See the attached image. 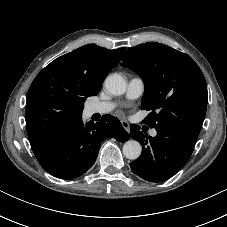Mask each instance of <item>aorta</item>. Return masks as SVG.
<instances>
[{"label":"aorta","instance_id":"aorta-1","mask_svg":"<svg viewBox=\"0 0 227 227\" xmlns=\"http://www.w3.org/2000/svg\"><path fill=\"white\" fill-rule=\"evenodd\" d=\"M106 90L115 96L125 93L127 88L126 80L119 74H111L105 79ZM142 152L141 144L136 140H128L123 145V154L127 159L136 160Z\"/></svg>","mask_w":227,"mask_h":227}]
</instances>
